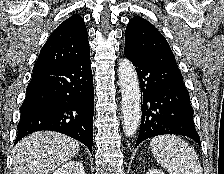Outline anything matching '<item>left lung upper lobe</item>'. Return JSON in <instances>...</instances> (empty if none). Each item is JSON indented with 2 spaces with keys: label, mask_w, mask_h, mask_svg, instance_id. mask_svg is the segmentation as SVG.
I'll list each match as a JSON object with an SVG mask.
<instances>
[{
  "label": "left lung upper lobe",
  "mask_w": 224,
  "mask_h": 174,
  "mask_svg": "<svg viewBox=\"0 0 224 174\" xmlns=\"http://www.w3.org/2000/svg\"><path fill=\"white\" fill-rule=\"evenodd\" d=\"M124 51L150 60H167L177 65L164 36L150 22L140 16L133 17L125 31Z\"/></svg>",
  "instance_id": "5c2ea615"
}]
</instances>
